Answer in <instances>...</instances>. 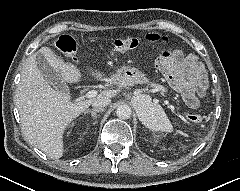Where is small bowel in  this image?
Returning <instances> with one entry per match:
<instances>
[{
  "label": "small bowel",
  "mask_w": 240,
  "mask_h": 191,
  "mask_svg": "<svg viewBox=\"0 0 240 191\" xmlns=\"http://www.w3.org/2000/svg\"><path fill=\"white\" fill-rule=\"evenodd\" d=\"M166 65L163 71L171 87L181 93L189 107L196 108L198 98L208 89L204 66L194 54H183L179 50L170 54Z\"/></svg>",
  "instance_id": "c3829d8e"
}]
</instances>
